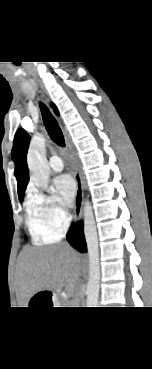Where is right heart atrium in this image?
<instances>
[{
    "label": "right heart atrium",
    "mask_w": 152,
    "mask_h": 369,
    "mask_svg": "<svg viewBox=\"0 0 152 369\" xmlns=\"http://www.w3.org/2000/svg\"><path fill=\"white\" fill-rule=\"evenodd\" d=\"M29 201L50 233L61 235L65 231L70 215L57 197L34 190Z\"/></svg>",
    "instance_id": "d8ad5b80"
}]
</instances>
